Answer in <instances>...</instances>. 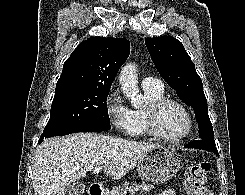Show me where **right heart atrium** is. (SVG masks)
I'll list each match as a JSON object with an SVG mask.
<instances>
[{
  "label": "right heart atrium",
  "instance_id": "obj_1",
  "mask_svg": "<svg viewBox=\"0 0 245 195\" xmlns=\"http://www.w3.org/2000/svg\"><path fill=\"white\" fill-rule=\"evenodd\" d=\"M105 110L109 122L116 132L130 134L132 131V111L127 107L117 89H112L105 98Z\"/></svg>",
  "mask_w": 245,
  "mask_h": 195
}]
</instances>
